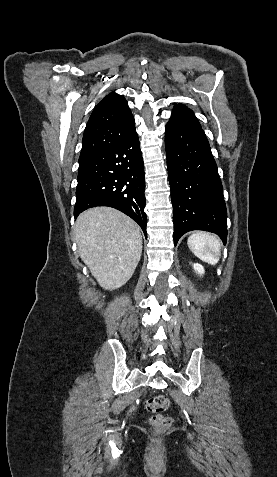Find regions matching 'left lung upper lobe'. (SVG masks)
Here are the masks:
<instances>
[{"label":"left lung upper lobe","instance_id":"left-lung-upper-lobe-1","mask_svg":"<svg viewBox=\"0 0 277 477\" xmlns=\"http://www.w3.org/2000/svg\"><path fill=\"white\" fill-rule=\"evenodd\" d=\"M175 119L198 121L193 111L182 104L175 105L173 109L170 120H175Z\"/></svg>","mask_w":277,"mask_h":477}]
</instances>
